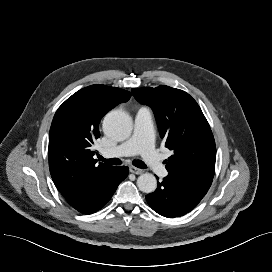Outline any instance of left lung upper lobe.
<instances>
[{
	"instance_id": "obj_1",
	"label": "left lung upper lobe",
	"mask_w": 272,
	"mask_h": 272,
	"mask_svg": "<svg viewBox=\"0 0 272 272\" xmlns=\"http://www.w3.org/2000/svg\"><path fill=\"white\" fill-rule=\"evenodd\" d=\"M132 93L152 108L165 146L174 151L166 161L168 172L213 179L215 141L197 102L188 93L165 85L134 88Z\"/></svg>"
}]
</instances>
